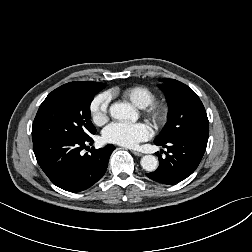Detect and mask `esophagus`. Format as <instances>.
I'll return each mask as SVG.
<instances>
[{
	"label": "esophagus",
	"mask_w": 252,
	"mask_h": 252,
	"mask_svg": "<svg viewBox=\"0 0 252 252\" xmlns=\"http://www.w3.org/2000/svg\"><path fill=\"white\" fill-rule=\"evenodd\" d=\"M132 153L136 156H143V153L139 152V151H136V150H132Z\"/></svg>",
	"instance_id": "1"
}]
</instances>
